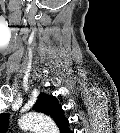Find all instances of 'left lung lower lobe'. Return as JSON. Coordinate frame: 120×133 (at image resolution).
Returning <instances> with one entry per match:
<instances>
[{
	"instance_id": "1",
	"label": "left lung lower lobe",
	"mask_w": 120,
	"mask_h": 133,
	"mask_svg": "<svg viewBox=\"0 0 120 133\" xmlns=\"http://www.w3.org/2000/svg\"><path fill=\"white\" fill-rule=\"evenodd\" d=\"M67 125H68V123H67ZM67 125H66V126H67ZM60 126H63V125H60ZM66 126H63V127H66Z\"/></svg>"
}]
</instances>
